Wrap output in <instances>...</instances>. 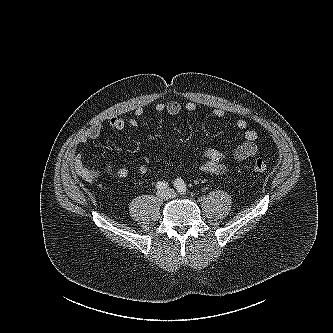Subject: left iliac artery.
Here are the masks:
<instances>
[{"label":"left iliac artery","mask_w":333,"mask_h":333,"mask_svg":"<svg viewBox=\"0 0 333 333\" xmlns=\"http://www.w3.org/2000/svg\"><path fill=\"white\" fill-rule=\"evenodd\" d=\"M174 187L180 194H186L187 186L181 178L175 180Z\"/></svg>","instance_id":"obj_1"}]
</instances>
